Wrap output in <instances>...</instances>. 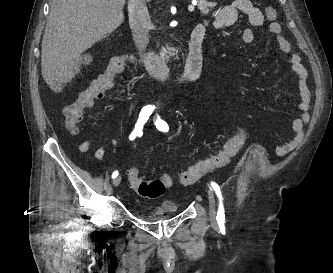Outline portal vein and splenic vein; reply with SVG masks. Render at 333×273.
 I'll return each instance as SVG.
<instances>
[{"label": "portal vein and splenic vein", "instance_id": "18ae733b", "mask_svg": "<svg viewBox=\"0 0 333 273\" xmlns=\"http://www.w3.org/2000/svg\"><path fill=\"white\" fill-rule=\"evenodd\" d=\"M188 10H189L190 12H193V11H194V5H189V6H188Z\"/></svg>", "mask_w": 333, "mask_h": 273}]
</instances>
